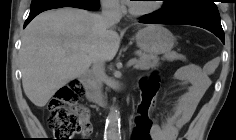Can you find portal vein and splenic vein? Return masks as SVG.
Instances as JSON below:
<instances>
[{
    "label": "portal vein and splenic vein",
    "mask_w": 236,
    "mask_h": 140,
    "mask_svg": "<svg viewBox=\"0 0 236 140\" xmlns=\"http://www.w3.org/2000/svg\"><path fill=\"white\" fill-rule=\"evenodd\" d=\"M136 63V60L135 59H130L128 62H127V66L130 67L132 65H134Z\"/></svg>",
    "instance_id": "obj_1"
}]
</instances>
